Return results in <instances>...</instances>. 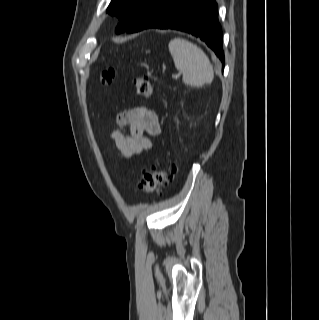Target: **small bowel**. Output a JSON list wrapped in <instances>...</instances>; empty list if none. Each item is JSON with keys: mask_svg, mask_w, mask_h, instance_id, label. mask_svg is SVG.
Returning a JSON list of instances; mask_svg holds the SVG:
<instances>
[{"mask_svg": "<svg viewBox=\"0 0 319 320\" xmlns=\"http://www.w3.org/2000/svg\"><path fill=\"white\" fill-rule=\"evenodd\" d=\"M158 115L154 110L138 106L117 116V129L110 132L118 154L129 158L152 147V138L160 134Z\"/></svg>", "mask_w": 319, "mask_h": 320, "instance_id": "c3829d8e", "label": "small bowel"}]
</instances>
